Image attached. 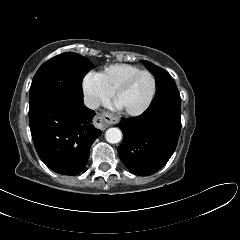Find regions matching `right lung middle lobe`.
<instances>
[{
	"instance_id": "obj_1",
	"label": "right lung middle lobe",
	"mask_w": 240,
	"mask_h": 240,
	"mask_svg": "<svg viewBox=\"0 0 240 240\" xmlns=\"http://www.w3.org/2000/svg\"><path fill=\"white\" fill-rule=\"evenodd\" d=\"M92 67L88 59L74 52L62 53L46 61L33 78L30 108L54 96L83 97L82 80Z\"/></svg>"
}]
</instances>
